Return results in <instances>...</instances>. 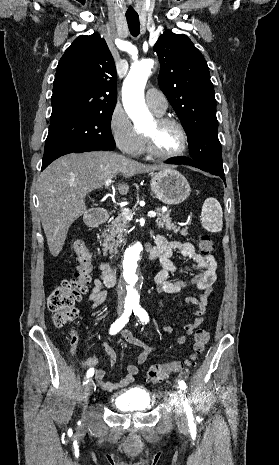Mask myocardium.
<instances>
[{"mask_svg": "<svg viewBox=\"0 0 279 465\" xmlns=\"http://www.w3.org/2000/svg\"><path fill=\"white\" fill-rule=\"evenodd\" d=\"M156 124L161 127L165 125H174L180 132L181 135V146L180 148L172 153H162L158 151L155 147L154 138L152 134L144 133V142H145V149L149 155L154 158L162 159V160H170L181 157L187 150L188 147V134L184 127V125L177 119L169 117V116H159L155 120Z\"/></svg>", "mask_w": 279, "mask_h": 465, "instance_id": "1", "label": "myocardium"}]
</instances>
